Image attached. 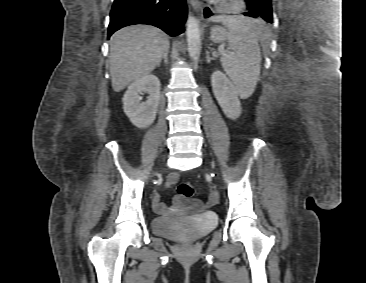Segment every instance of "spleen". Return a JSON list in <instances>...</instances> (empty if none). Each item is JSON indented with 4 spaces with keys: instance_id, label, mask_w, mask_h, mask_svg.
Segmentation results:
<instances>
[{
    "instance_id": "1",
    "label": "spleen",
    "mask_w": 366,
    "mask_h": 283,
    "mask_svg": "<svg viewBox=\"0 0 366 283\" xmlns=\"http://www.w3.org/2000/svg\"><path fill=\"white\" fill-rule=\"evenodd\" d=\"M228 29V52H222L221 64L241 98L254 92L261 68L259 40L264 38V26L259 21L243 17L219 16Z\"/></svg>"
}]
</instances>
